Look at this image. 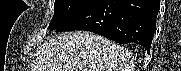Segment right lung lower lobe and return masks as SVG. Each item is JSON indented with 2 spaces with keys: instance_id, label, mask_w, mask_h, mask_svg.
Masks as SVG:
<instances>
[{
  "instance_id": "1",
  "label": "right lung lower lobe",
  "mask_w": 181,
  "mask_h": 71,
  "mask_svg": "<svg viewBox=\"0 0 181 71\" xmlns=\"http://www.w3.org/2000/svg\"><path fill=\"white\" fill-rule=\"evenodd\" d=\"M159 0H94L56 32L90 31L121 44L137 43L150 53Z\"/></svg>"
}]
</instances>
